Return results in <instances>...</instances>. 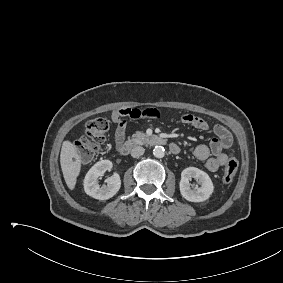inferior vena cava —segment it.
I'll list each match as a JSON object with an SVG mask.
<instances>
[{"label":"inferior vena cava","instance_id":"602c4592","mask_svg":"<svg viewBox=\"0 0 283 283\" xmlns=\"http://www.w3.org/2000/svg\"><path fill=\"white\" fill-rule=\"evenodd\" d=\"M144 148L141 147V146H135L133 147V149L131 150V156L134 157V158H138L140 157L141 155L144 154Z\"/></svg>","mask_w":283,"mask_h":283}]
</instances>
